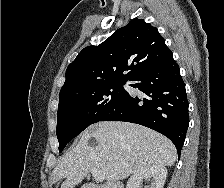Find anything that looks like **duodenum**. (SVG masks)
<instances>
[{
    "mask_svg": "<svg viewBox=\"0 0 224 188\" xmlns=\"http://www.w3.org/2000/svg\"><path fill=\"white\" fill-rule=\"evenodd\" d=\"M84 188H103V187L102 186H98V185L88 184Z\"/></svg>",
    "mask_w": 224,
    "mask_h": 188,
    "instance_id": "obj_1",
    "label": "duodenum"
}]
</instances>
